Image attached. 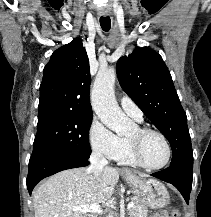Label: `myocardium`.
<instances>
[{
  "mask_svg": "<svg viewBox=\"0 0 211 217\" xmlns=\"http://www.w3.org/2000/svg\"><path fill=\"white\" fill-rule=\"evenodd\" d=\"M148 134H156L158 136H160L165 145H166V148H167V157H166V160L164 161V163H162L161 165H158V166H151V165H148L143 157H142V153H141V142L143 140V138L148 135ZM128 143H129V149H130V153H131V156L134 160V162L144 168V169H147V170H161L163 168H165L170 160H171V157H172V147H171V144L167 138V136L157 130V129H154V128H150V127H139L137 128V135L136 137L134 138H128Z\"/></svg>",
  "mask_w": 211,
  "mask_h": 217,
  "instance_id": "f54148a6",
  "label": "myocardium"
}]
</instances>
